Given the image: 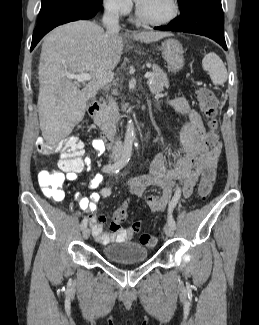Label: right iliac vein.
<instances>
[{"label": "right iliac vein", "mask_w": 259, "mask_h": 325, "mask_svg": "<svg viewBox=\"0 0 259 325\" xmlns=\"http://www.w3.org/2000/svg\"><path fill=\"white\" fill-rule=\"evenodd\" d=\"M119 155H113L112 156V161H115L116 159H118ZM90 236V229L88 227L83 229V238L86 240L88 239Z\"/></svg>", "instance_id": "1"}]
</instances>
